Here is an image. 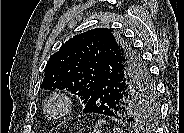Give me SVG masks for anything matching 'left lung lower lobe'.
I'll use <instances>...</instances> for the list:
<instances>
[{
  "label": "left lung lower lobe",
  "instance_id": "0a47b994",
  "mask_svg": "<svg viewBox=\"0 0 184 133\" xmlns=\"http://www.w3.org/2000/svg\"><path fill=\"white\" fill-rule=\"evenodd\" d=\"M121 69L113 59L103 58L99 82L86 102L83 113H98L129 122L124 115L130 92L126 90V80ZM141 88L147 95L152 93L151 87L146 84L142 83Z\"/></svg>",
  "mask_w": 184,
  "mask_h": 133
}]
</instances>
